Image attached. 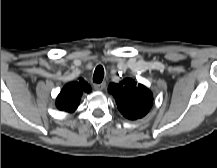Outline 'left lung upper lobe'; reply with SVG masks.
<instances>
[{"instance_id":"obj_1","label":"left lung upper lobe","mask_w":217,"mask_h":168,"mask_svg":"<svg viewBox=\"0 0 217 168\" xmlns=\"http://www.w3.org/2000/svg\"><path fill=\"white\" fill-rule=\"evenodd\" d=\"M109 92L113 94L119 111L127 119L142 118L152 106L151 91L131 78H126L118 84H110Z\"/></svg>"}]
</instances>
